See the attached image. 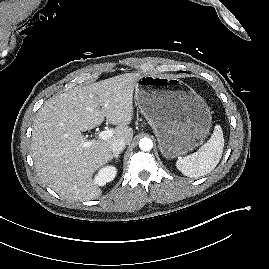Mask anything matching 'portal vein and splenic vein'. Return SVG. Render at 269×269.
I'll return each mask as SVG.
<instances>
[{
  "label": "portal vein and splenic vein",
  "mask_w": 269,
  "mask_h": 269,
  "mask_svg": "<svg viewBox=\"0 0 269 269\" xmlns=\"http://www.w3.org/2000/svg\"><path fill=\"white\" fill-rule=\"evenodd\" d=\"M114 132L113 130H105V131H101L98 134V138L100 140H108L113 136Z\"/></svg>",
  "instance_id": "1"
}]
</instances>
